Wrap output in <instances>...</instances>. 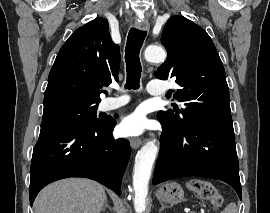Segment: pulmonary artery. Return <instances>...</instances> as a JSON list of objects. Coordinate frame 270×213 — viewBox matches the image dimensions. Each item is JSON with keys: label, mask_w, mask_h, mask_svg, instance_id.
I'll return each instance as SVG.
<instances>
[{"label": "pulmonary artery", "mask_w": 270, "mask_h": 213, "mask_svg": "<svg viewBox=\"0 0 270 213\" xmlns=\"http://www.w3.org/2000/svg\"><path fill=\"white\" fill-rule=\"evenodd\" d=\"M164 83L162 81L153 80L148 85V92L151 95L157 96L164 94ZM128 102V97L126 95H120L117 97H110L108 98L104 104L103 109L104 110H114L117 108L122 107Z\"/></svg>", "instance_id": "e3ab8cb5"}]
</instances>
